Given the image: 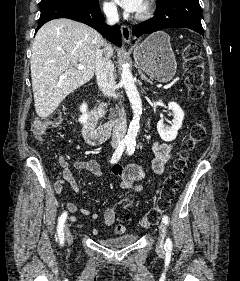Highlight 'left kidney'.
<instances>
[{"mask_svg":"<svg viewBox=\"0 0 240 281\" xmlns=\"http://www.w3.org/2000/svg\"><path fill=\"white\" fill-rule=\"evenodd\" d=\"M168 110L169 115L173 116L171 126H166L163 119L159 120L157 123L158 133L166 142L176 139L178 130L181 128L184 119V112L176 102H169Z\"/></svg>","mask_w":240,"mask_h":281,"instance_id":"1","label":"left kidney"}]
</instances>
